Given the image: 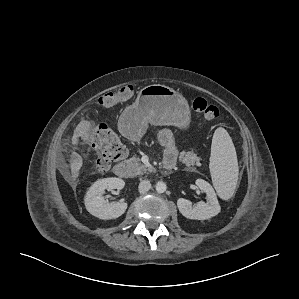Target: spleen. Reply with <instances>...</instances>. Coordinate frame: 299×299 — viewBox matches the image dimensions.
<instances>
[{
  "instance_id": "1",
  "label": "spleen",
  "mask_w": 299,
  "mask_h": 299,
  "mask_svg": "<svg viewBox=\"0 0 299 299\" xmlns=\"http://www.w3.org/2000/svg\"><path fill=\"white\" fill-rule=\"evenodd\" d=\"M210 171L219 196L224 200L231 198L237 184L239 167L232 139L222 127L217 128L213 135Z\"/></svg>"
}]
</instances>
